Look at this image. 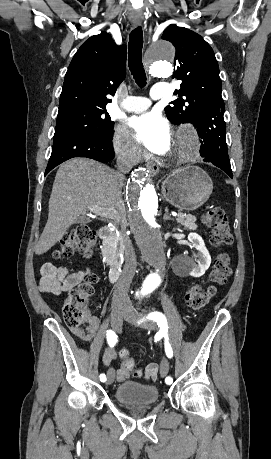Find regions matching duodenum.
<instances>
[{
  "label": "duodenum",
  "mask_w": 271,
  "mask_h": 459,
  "mask_svg": "<svg viewBox=\"0 0 271 459\" xmlns=\"http://www.w3.org/2000/svg\"><path fill=\"white\" fill-rule=\"evenodd\" d=\"M112 236H113V229L110 226L105 225L100 228L99 237L103 242L110 244L112 241ZM119 276H120V270L118 266L115 263H112L111 268H110V280L112 282H116Z\"/></svg>",
  "instance_id": "1"
}]
</instances>
